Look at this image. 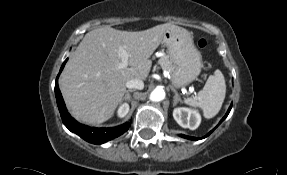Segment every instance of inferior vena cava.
Wrapping results in <instances>:
<instances>
[{
  "label": "inferior vena cava",
  "instance_id": "602c4592",
  "mask_svg": "<svg viewBox=\"0 0 287 175\" xmlns=\"http://www.w3.org/2000/svg\"><path fill=\"white\" fill-rule=\"evenodd\" d=\"M126 87L142 90L144 88V83L140 79H131L126 82Z\"/></svg>",
  "mask_w": 287,
  "mask_h": 175
}]
</instances>
